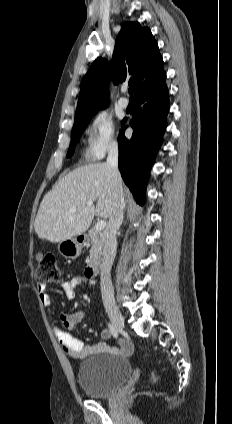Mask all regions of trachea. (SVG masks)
I'll return each mask as SVG.
<instances>
[{"label": "trachea", "mask_w": 232, "mask_h": 424, "mask_svg": "<svg viewBox=\"0 0 232 424\" xmlns=\"http://www.w3.org/2000/svg\"><path fill=\"white\" fill-rule=\"evenodd\" d=\"M134 93V88L133 87H130L129 88V94H133ZM130 98H133V96H131Z\"/></svg>", "instance_id": "obj_1"}]
</instances>
